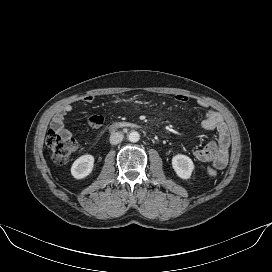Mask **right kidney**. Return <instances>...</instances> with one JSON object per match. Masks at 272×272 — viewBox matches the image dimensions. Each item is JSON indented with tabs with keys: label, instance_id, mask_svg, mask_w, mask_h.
<instances>
[{
	"label": "right kidney",
	"instance_id": "1",
	"mask_svg": "<svg viewBox=\"0 0 272 272\" xmlns=\"http://www.w3.org/2000/svg\"><path fill=\"white\" fill-rule=\"evenodd\" d=\"M94 157L90 154L80 156L71 167V174L75 179L87 177L93 170Z\"/></svg>",
	"mask_w": 272,
	"mask_h": 272
}]
</instances>
